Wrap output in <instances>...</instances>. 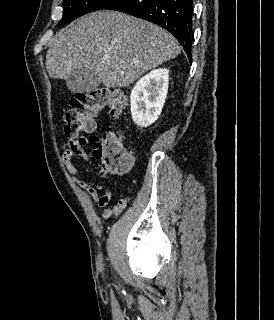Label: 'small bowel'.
I'll use <instances>...</instances> for the list:
<instances>
[{"instance_id": "small-bowel-1", "label": "small bowel", "mask_w": 274, "mask_h": 320, "mask_svg": "<svg viewBox=\"0 0 274 320\" xmlns=\"http://www.w3.org/2000/svg\"><path fill=\"white\" fill-rule=\"evenodd\" d=\"M85 124H86L87 131H96L97 129L96 119H86ZM89 143H90V139L85 136L68 139L62 147V160L67 171L69 172L72 179L76 182V184L91 197L93 203L97 207L102 208L108 205L109 202L111 201V198H112L111 191L108 190L104 185L100 183L84 179L81 176L77 167L73 163V159L77 156L81 157L84 161L89 160V156L84 150V147ZM95 155L98 158L103 157V153L97 149L95 151ZM126 161H134V157L130 153H127ZM131 169L132 168H122L119 174H125L129 172ZM106 174H107L106 170L100 173L102 177H105ZM126 189L127 191H130V188H126ZM100 192H103V194L100 195ZM130 201L131 199L128 195L121 196L115 206H113L112 208L104 209L102 211V214H101L102 218L104 220H108L111 217L119 216L128 207V205L130 204Z\"/></svg>"}]
</instances>
